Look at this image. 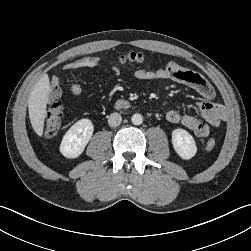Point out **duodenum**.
<instances>
[{
    "instance_id": "410a0bca",
    "label": "duodenum",
    "mask_w": 251,
    "mask_h": 251,
    "mask_svg": "<svg viewBox=\"0 0 251 251\" xmlns=\"http://www.w3.org/2000/svg\"><path fill=\"white\" fill-rule=\"evenodd\" d=\"M130 106L129 102L126 100H118L115 103V107L118 109H122V108H128Z\"/></svg>"
}]
</instances>
